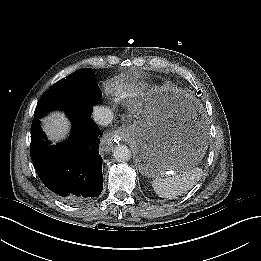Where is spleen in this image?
I'll use <instances>...</instances> for the list:
<instances>
[{
	"instance_id": "1",
	"label": "spleen",
	"mask_w": 261,
	"mask_h": 261,
	"mask_svg": "<svg viewBox=\"0 0 261 261\" xmlns=\"http://www.w3.org/2000/svg\"><path fill=\"white\" fill-rule=\"evenodd\" d=\"M201 176L202 169L194 167L190 170L174 173L172 176L165 178L156 177L152 181V187L159 197L172 198L192 189Z\"/></svg>"
}]
</instances>
